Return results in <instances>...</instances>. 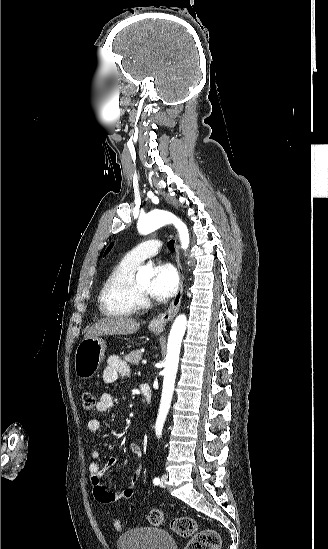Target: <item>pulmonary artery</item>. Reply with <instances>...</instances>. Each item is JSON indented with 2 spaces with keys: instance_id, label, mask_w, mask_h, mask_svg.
Masks as SVG:
<instances>
[{
  "instance_id": "1",
  "label": "pulmonary artery",
  "mask_w": 328,
  "mask_h": 549,
  "mask_svg": "<svg viewBox=\"0 0 328 549\" xmlns=\"http://www.w3.org/2000/svg\"><path fill=\"white\" fill-rule=\"evenodd\" d=\"M164 241L161 237H152L150 241H142L140 246H136L129 251L126 256L134 262H143L149 257L157 255V249L161 248Z\"/></svg>"
}]
</instances>
